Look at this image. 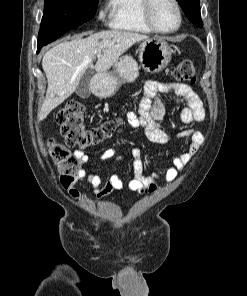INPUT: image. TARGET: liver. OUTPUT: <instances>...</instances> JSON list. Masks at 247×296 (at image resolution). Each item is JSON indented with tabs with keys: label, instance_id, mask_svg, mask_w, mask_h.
I'll list each match as a JSON object with an SVG mask.
<instances>
[{
	"label": "liver",
	"instance_id": "obj_1",
	"mask_svg": "<svg viewBox=\"0 0 247 296\" xmlns=\"http://www.w3.org/2000/svg\"><path fill=\"white\" fill-rule=\"evenodd\" d=\"M82 36L57 44L43 56L42 68L48 87L39 113L41 121L74 93L89 67L97 73L107 72L132 45L149 39L147 35L120 30ZM98 54L101 57L93 66V59Z\"/></svg>",
	"mask_w": 247,
	"mask_h": 296
}]
</instances>
